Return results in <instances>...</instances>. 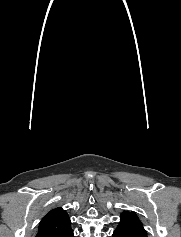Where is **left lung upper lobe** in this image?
<instances>
[{
    "mask_svg": "<svg viewBox=\"0 0 181 237\" xmlns=\"http://www.w3.org/2000/svg\"><path fill=\"white\" fill-rule=\"evenodd\" d=\"M116 230L126 231V230H136L146 233L141 221L134 212L124 211L120 217L119 226Z\"/></svg>",
    "mask_w": 181,
    "mask_h": 237,
    "instance_id": "left-lung-upper-lobe-1",
    "label": "left lung upper lobe"
}]
</instances>
